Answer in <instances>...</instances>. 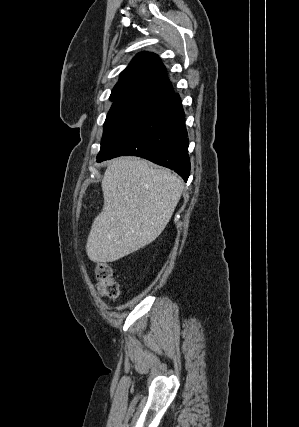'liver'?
<instances>
[{"mask_svg": "<svg viewBox=\"0 0 299 427\" xmlns=\"http://www.w3.org/2000/svg\"><path fill=\"white\" fill-rule=\"evenodd\" d=\"M104 206L94 219L86 252L96 263L114 262L153 242L164 230L184 185L164 168L138 157H120L102 179Z\"/></svg>", "mask_w": 299, "mask_h": 427, "instance_id": "6515ba94", "label": "liver"}]
</instances>
